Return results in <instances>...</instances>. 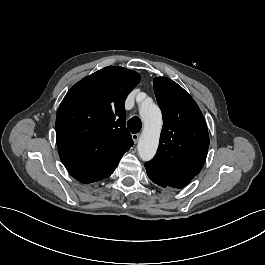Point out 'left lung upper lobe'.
<instances>
[{
    "instance_id": "left-lung-upper-lobe-1",
    "label": "left lung upper lobe",
    "mask_w": 265,
    "mask_h": 265,
    "mask_svg": "<svg viewBox=\"0 0 265 265\" xmlns=\"http://www.w3.org/2000/svg\"><path fill=\"white\" fill-rule=\"evenodd\" d=\"M163 128L155 157L145 164L157 185L181 189L201 171L208 153L205 119L193 98L176 82L154 79Z\"/></svg>"
}]
</instances>
